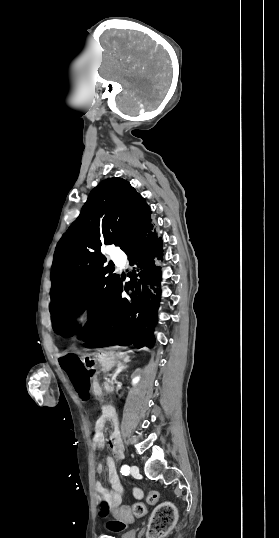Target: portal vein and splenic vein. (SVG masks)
Listing matches in <instances>:
<instances>
[{
	"mask_svg": "<svg viewBox=\"0 0 279 538\" xmlns=\"http://www.w3.org/2000/svg\"><path fill=\"white\" fill-rule=\"evenodd\" d=\"M108 383H113V380H108Z\"/></svg>",
	"mask_w": 279,
	"mask_h": 538,
	"instance_id": "18ae733b",
	"label": "portal vein and splenic vein"
}]
</instances>
